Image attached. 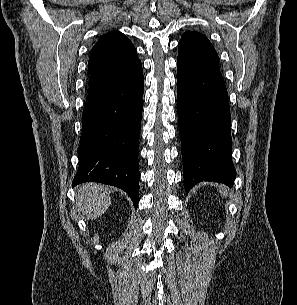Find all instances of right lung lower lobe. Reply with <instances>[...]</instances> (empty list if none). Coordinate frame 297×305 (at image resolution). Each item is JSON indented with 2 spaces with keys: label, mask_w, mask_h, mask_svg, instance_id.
Masks as SVG:
<instances>
[{
  "label": "right lung lower lobe",
  "mask_w": 297,
  "mask_h": 305,
  "mask_svg": "<svg viewBox=\"0 0 297 305\" xmlns=\"http://www.w3.org/2000/svg\"><path fill=\"white\" fill-rule=\"evenodd\" d=\"M144 78L142 64L89 88L82 120L79 169L72 186L100 182L124 190L138 206V147Z\"/></svg>",
  "instance_id": "right-lung-lower-lobe-1"
}]
</instances>
